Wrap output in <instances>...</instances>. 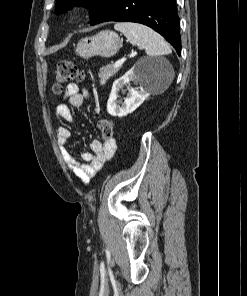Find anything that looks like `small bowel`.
<instances>
[{"label":"small bowel","instance_id":"1","mask_svg":"<svg viewBox=\"0 0 247 296\" xmlns=\"http://www.w3.org/2000/svg\"><path fill=\"white\" fill-rule=\"evenodd\" d=\"M63 97L67 103H60L55 107V115L69 123L75 122V117L70 107H81L88 98V93L81 90L76 83H69ZM71 132L66 127H60L57 131V142L64 158L67 168L80 181L87 185L92 178L102 169L104 163L110 160L115 152L116 144L112 140L107 144L101 143L99 140H93L89 144L90 151L82 154V161H78L68 150L67 144L70 140Z\"/></svg>","mask_w":247,"mask_h":296}]
</instances>
